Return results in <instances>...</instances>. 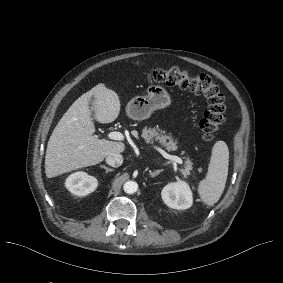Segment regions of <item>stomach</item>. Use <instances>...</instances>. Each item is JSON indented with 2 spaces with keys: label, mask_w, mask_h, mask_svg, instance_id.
Here are the masks:
<instances>
[{
  "label": "stomach",
  "mask_w": 283,
  "mask_h": 283,
  "mask_svg": "<svg viewBox=\"0 0 283 283\" xmlns=\"http://www.w3.org/2000/svg\"><path fill=\"white\" fill-rule=\"evenodd\" d=\"M169 102L170 99L164 89L152 86L148 88L147 96H136L127 103L125 114L131 120L143 121L149 119L156 109L167 106Z\"/></svg>",
  "instance_id": "1"
}]
</instances>
